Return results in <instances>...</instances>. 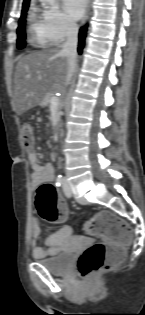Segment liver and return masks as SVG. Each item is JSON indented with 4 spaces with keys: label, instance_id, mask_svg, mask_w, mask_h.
Here are the masks:
<instances>
[{
    "label": "liver",
    "instance_id": "6515ba94",
    "mask_svg": "<svg viewBox=\"0 0 145 315\" xmlns=\"http://www.w3.org/2000/svg\"><path fill=\"white\" fill-rule=\"evenodd\" d=\"M67 74V57L58 48L21 56L14 74V112L21 115L40 104L48 93L63 91Z\"/></svg>",
    "mask_w": 145,
    "mask_h": 315
}]
</instances>
